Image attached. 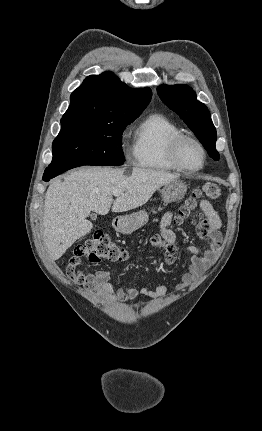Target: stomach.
Returning <instances> with one entry per match:
<instances>
[{"instance_id":"0dacf381","label":"stomach","mask_w":262,"mask_h":431,"mask_svg":"<svg viewBox=\"0 0 262 431\" xmlns=\"http://www.w3.org/2000/svg\"><path fill=\"white\" fill-rule=\"evenodd\" d=\"M187 186L183 181L174 180L165 184L161 190V197L164 203H171L180 200L185 196ZM149 220V215L145 210L121 216L117 219L115 228L123 234H131L135 230L145 225Z\"/></svg>"}]
</instances>
